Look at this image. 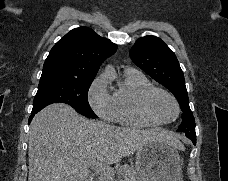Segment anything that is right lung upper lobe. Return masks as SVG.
Listing matches in <instances>:
<instances>
[{"mask_svg":"<svg viewBox=\"0 0 228 181\" xmlns=\"http://www.w3.org/2000/svg\"><path fill=\"white\" fill-rule=\"evenodd\" d=\"M117 45L88 27L71 30L51 49L41 77L93 80L99 66L115 53Z\"/></svg>","mask_w":228,"mask_h":181,"instance_id":"right-lung-upper-lobe-1","label":"right lung upper lobe"}]
</instances>
